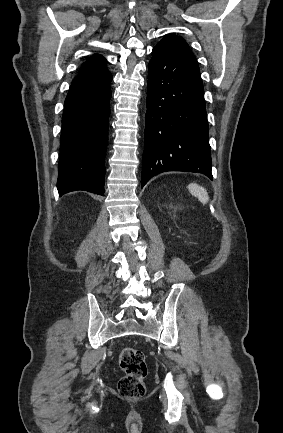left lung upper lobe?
I'll return each instance as SVG.
<instances>
[{"mask_svg":"<svg viewBox=\"0 0 283 433\" xmlns=\"http://www.w3.org/2000/svg\"><path fill=\"white\" fill-rule=\"evenodd\" d=\"M157 45L173 46V47L183 48L185 50L190 51L189 46L185 42V40L174 35L165 36Z\"/></svg>","mask_w":283,"mask_h":433,"instance_id":"1","label":"left lung upper lobe"}]
</instances>
